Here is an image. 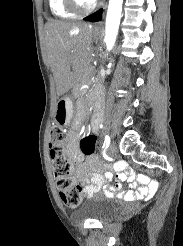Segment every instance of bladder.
<instances>
[{
	"mask_svg": "<svg viewBox=\"0 0 183 246\" xmlns=\"http://www.w3.org/2000/svg\"><path fill=\"white\" fill-rule=\"evenodd\" d=\"M119 210L118 203L103 194H96L84 201L75 216L99 221L111 219Z\"/></svg>",
	"mask_w": 183,
	"mask_h": 246,
	"instance_id": "1",
	"label": "bladder"
}]
</instances>
